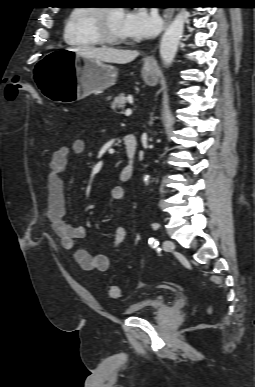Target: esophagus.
<instances>
[{
    "label": "esophagus",
    "mask_w": 255,
    "mask_h": 387,
    "mask_svg": "<svg viewBox=\"0 0 255 387\" xmlns=\"http://www.w3.org/2000/svg\"><path fill=\"white\" fill-rule=\"evenodd\" d=\"M173 14H174V9L173 8H169V9H166L165 10V13H164V20H165V28L169 25V23L171 22V19L173 17ZM153 60V56H149L145 59V62L146 63H151Z\"/></svg>",
    "instance_id": "esophagus-1"
}]
</instances>
